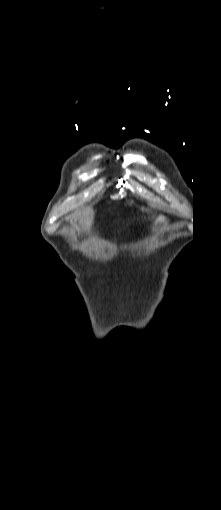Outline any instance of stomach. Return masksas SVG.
<instances>
[{"label": "stomach", "mask_w": 221, "mask_h": 510, "mask_svg": "<svg viewBox=\"0 0 221 510\" xmlns=\"http://www.w3.org/2000/svg\"><path fill=\"white\" fill-rule=\"evenodd\" d=\"M158 221L159 222H165V223L168 222L167 218L165 216H163V215L159 216Z\"/></svg>", "instance_id": "obj_1"}]
</instances>
